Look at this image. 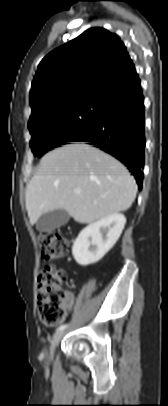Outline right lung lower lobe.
<instances>
[{"instance_id":"1","label":"right lung lower lobe","mask_w":168,"mask_h":406,"mask_svg":"<svg viewBox=\"0 0 168 406\" xmlns=\"http://www.w3.org/2000/svg\"><path fill=\"white\" fill-rule=\"evenodd\" d=\"M101 100L98 121L70 142H87L112 155L128 167L141 189L145 116L139 78Z\"/></svg>"}]
</instances>
